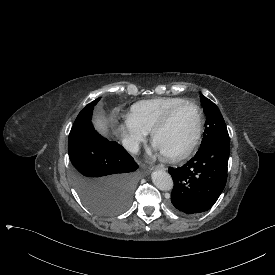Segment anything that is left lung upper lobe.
<instances>
[{
	"mask_svg": "<svg viewBox=\"0 0 275 275\" xmlns=\"http://www.w3.org/2000/svg\"><path fill=\"white\" fill-rule=\"evenodd\" d=\"M203 110L206 114V127L201 146L218 140L229 139V134L218 107L200 94Z\"/></svg>",
	"mask_w": 275,
	"mask_h": 275,
	"instance_id": "5c2ea615",
	"label": "left lung upper lobe"
}]
</instances>
